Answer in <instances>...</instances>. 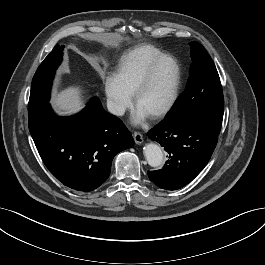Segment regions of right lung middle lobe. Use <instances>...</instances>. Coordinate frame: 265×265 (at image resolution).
Segmentation results:
<instances>
[{"instance_id": "obj_1", "label": "right lung middle lobe", "mask_w": 265, "mask_h": 265, "mask_svg": "<svg viewBox=\"0 0 265 265\" xmlns=\"http://www.w3.org/2000/svg\"><path fill=\"white\" fill-rule=\"evenodd\" d=\"M64 45H56L38 67L31 86L28 117L33 116L48 104L55 71L62 61Z\"/></svg>"}]
</instances>
